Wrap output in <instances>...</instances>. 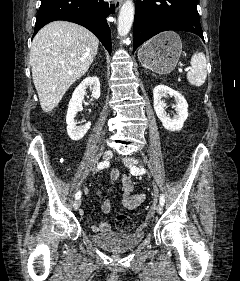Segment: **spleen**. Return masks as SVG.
<instances>
[{
    "label": "spleen",
    "mask_w": 240,
    "mask_h": 281,
    "mask_svg": "<svg viewBox=\"0 0 240 281\" xmlns=\"http://www.w3.org/2000/svg\"><path fill=\"white\" fill-rule=\"evenodd\" d=\"M190 71L187 80L191 85L200 87L205 83L207 77V61L202 52H196L191 58Z\"/></svg>",
    "instance_id": "obj_1"
}]
</instances>
